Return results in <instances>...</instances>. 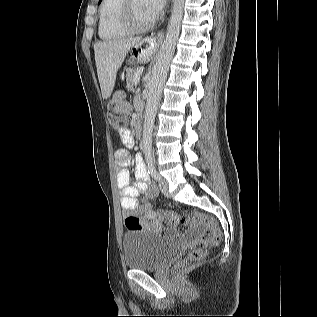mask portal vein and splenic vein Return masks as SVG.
<instances>
[{"mask_svg":"<svg viewBox=\"0 0 317 317\" xmlns=\"http://www.w3.org/2000/svg\"><path fill=\"white\" fill-rule=\"evenodd\" d=\"M143 72V67H140L139 69H137L136 74H135V84L137 85L140 79V76Z\"/></svg>","mask_w":317,"mask_h":317,"instance_id":"18ae733b","label":"portal vein and splenic vein"}]
</instances>
